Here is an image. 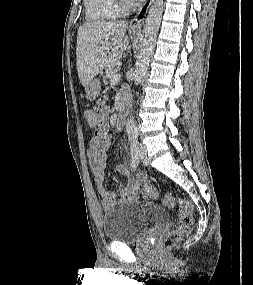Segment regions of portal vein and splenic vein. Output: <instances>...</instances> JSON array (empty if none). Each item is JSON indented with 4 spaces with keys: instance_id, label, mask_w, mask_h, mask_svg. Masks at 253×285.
<instances>
[{
    "instance_id": "obj_1",
    "label": "portal vein and splenic vein",
    "mask_w": 253,
    "mask_h": 285,
    "mask_svg": "<svg viewBox=\"0 0 253 285\" xmlns=\"http://www.w3.org/2000/svg\"><path fill=\"white\" fill-rule=\"evenodd\" d=\"M120 78H121V74H118V73L115 74L111 79V84L117 83L120 80Z\"/></svg>"
}]
</instances>
